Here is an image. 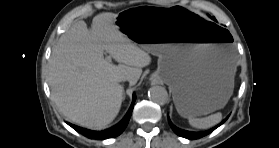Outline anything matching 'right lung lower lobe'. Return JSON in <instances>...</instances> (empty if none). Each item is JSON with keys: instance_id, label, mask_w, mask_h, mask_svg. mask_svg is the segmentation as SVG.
<instances>
[{"instance_id": "right-lung-lower-lobe-1", "label": "right lung lower lobe", "mask_w": 279, "mask_h": 148, "mask_svg": "<svg viewBox=\"0 0 279 148\" xmlns=\"http://www.w3.org/2000/svg\"><path fill=\"white\" fill-rule=\"evenodd\" d=\"M134 103H135V96L133 97V102H132L131 107L128 110L127 114L125 115V117L117 125H115L114 127L110 128V129L104 130V131H92V130H88V129H84V128L72 125L70 123H67V124L70 125L76 131L82 133L83 135H85L86 137H88L90 139L100 140V139L114 138V137H117L118 135H120L126 128L128 122H129L130 116L132 114Z\"/></svg>"}]
</instances>
